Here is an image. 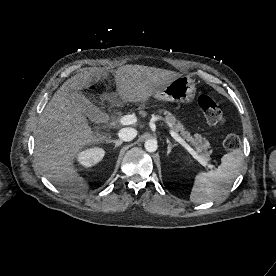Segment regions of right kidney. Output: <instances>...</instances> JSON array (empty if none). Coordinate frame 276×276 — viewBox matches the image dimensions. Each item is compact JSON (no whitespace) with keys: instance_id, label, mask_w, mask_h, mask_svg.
Instances as JSON below:
<instances>
[{"instance_id":"obj_1","label":"right kidney","mask_w":276,"mask_h":276,"mask_svg":"<svg viewBox=\"0 0 276 276\" xmlns=\"http://www.w3.org/2000/svg\"><path fill=\"white\" fill-rule=\"evenodd\" d=\"M105 151L102 148L94 147L86 149L78 154V161L84 167H91L103 159Z\"/></svg>"}]
</instances>
